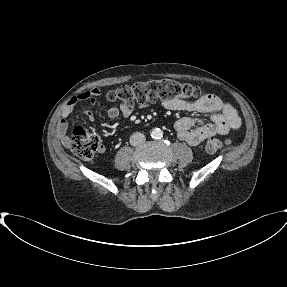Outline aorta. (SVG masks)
<instances>
[{"label":"aorta","instance_id":"obj_1","mask_svg":"<svg viewBox=\"0 0 287 287\" xmlns=\"http://www.w3.org/2000/svg\"><path fill=\"white\" fill-rule=\"evenodd\" d=\"M151 137L154 139H160L163 137V131L159 128L153 129L151 131Z\"/></svg>","mask_w":287,"mask_h":287}]
</instances>
